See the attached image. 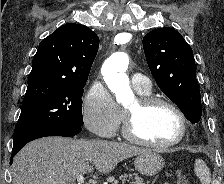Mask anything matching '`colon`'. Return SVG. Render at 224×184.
<instances>
[{
	"instance_id": "1",
	"label": "colon",
	"mask_w": 224,
	"mask_h": 184,
	"mask_svg": "<svg viewBox=\"0 0 224 184\" xmlns=\"http://www.w3.org/2000/svg\"><path fill=\"white\" fill-rule=\"evenodd\" d=\"M176 184H191L189 177L181 170L176 173Z\"/></svg>"
}]
</instances>
